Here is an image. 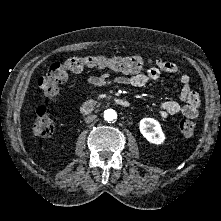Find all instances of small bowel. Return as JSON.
<instances>
[{
    "label": "small bowel",
    "mask_w": 221,
    "mask_h": 221,
    "mask_svg": "<svg viewBox=\"0 0 221 221\" xmlns=\"http://www.w3.org/2000/svg\"><path fill=\"white\" fill-rule=\"evenodd\" d=\"M161 73L179 76V81L182 84L180 99L183 104L176 101H165L160 107L159 116L165 119L170 116L183 115L187 118L195 119L198 116L200 106L199 95L192 90L189 75L182 72L180 66L174 62L157 58L156 65L143 73L138 72L113 78L108 74L91 75L87 78V83L92 88L108 85L142 87L148 82L157 80Z\"/></svg>",
    "instance_id": "obj_1"
}]
</instances>
